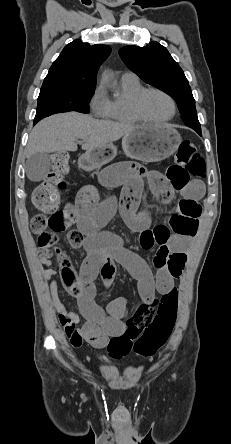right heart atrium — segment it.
Wrapping results in <instances>:
<instances>
[{"instance_id": "right-heart-atrium-1", "label": "right heart atrium", "mask_w": 231, "mask_h": 444, "mask_svg": "<svg viewBox=\"0 0 231 444\" xmlns=\"http://www.w3.org/2000/svg\"><path fill=\"white\" fill-rule=\"evenodd\" d=\"M108 99L103 85H99L94 90L90 98V108L92 113L98 117H105L109 109Z\"/></svg>"}]
</instances>
